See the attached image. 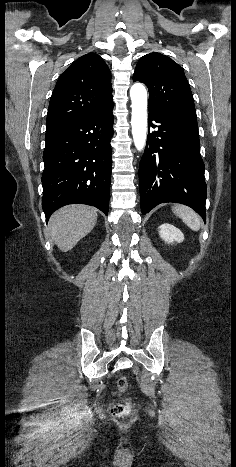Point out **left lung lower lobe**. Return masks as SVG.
<instances>
[{"label":"left lung lower lobe","instance_id":"0a47b994","mask_svg":"<svg viewBox=\"0 0 236 467\" xmlns=\"http://www.w3.org/2000/svg\"><path fill=\"white\" fill-rule=\"evenodd\" d=\"M148 110V127L158 131H148L139 165L142 214L160 203L175 202L193 208L205 221L207 186L196 113Z\"/></svg>","mask_w":236,"mask_h":467}]
</instances>
